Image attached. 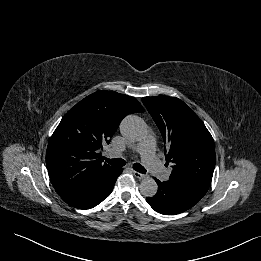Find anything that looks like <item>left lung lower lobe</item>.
Segmentation results:
<instances>
[{
	"label": "left lung lower lobe",
	"instance_id": "0a47b994",
	"mask_svg": "<svg viewBox=\"0 0 261 261\" xmlns=\"http://www.w3.org/2000/svg\"><path fill=\"white\" fill-rule=\"evenodd\" d=\"M155 180L158 191L155 196L146 198V201L156 212L164 215H176L190 209L208 190L204 186L187 181Z\"/></svg>",
	"mask_w": 261,
	"mask_h": 261
}]
</instances>
